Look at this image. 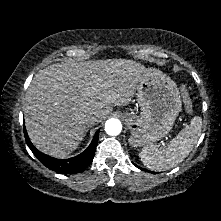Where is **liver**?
Here are the masks:
<instances>
[{
	"label": "liver",
	"instance_id": "obj_1",
	"mask_svg": "<svg viewBox=\"0 0 221 221\" xmlns=\"http://www.w3.org/2000/svg\"><path fill=\"white\" fill-rule=\"evenodd\" d=\"M145 71L127 59L62 62L40 70L25 98L31 142L55 158L70 155L83 140L85 118L94 115L98 124L112 106L129 104Z\"/></svg>",
	"mask_w": 221,
	"mask_h": 221
}]
</instances>
